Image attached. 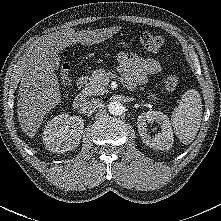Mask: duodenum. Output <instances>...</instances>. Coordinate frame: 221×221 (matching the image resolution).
<instances>
[{
	"instance_id": "1",
	"label": "duodenum",
	"mask_w": 221,
	"mask_h": 221,
	"mask_svg": "<svg viewBox=\"0 0 221 221\" xmlns=\"http://www.w3.org/2000/svg\"><path fill=\"white\" fill-rule=\"evenodd\" d=\"M86 80H87V76H85V75H82L78 78L77 86L79 89V94L77 95V97L74 101V104H73V107L76 110H81L85 105L86 96L83 92V89L85 87Z\"/></svg>"
}]
</instances>
